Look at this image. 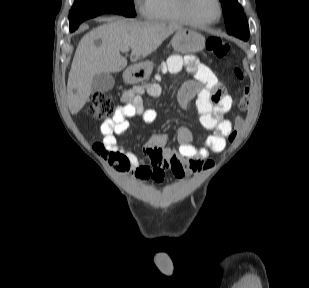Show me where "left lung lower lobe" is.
<instances>
[{"mask_svg":"<svg viewBox=\"0 0 309 288\" xmlns=\"http://www.w3.org/2000/svg\"><path fill=\"white\" fill-rule=\"evenodd\" d=\"M231 35H234L242 40H248L249 38V33L248 34H240V33H234V34H231Z\"/></svg>","mask_w":309,"mask_h":288,"instance_id":"obj_1","label":"left lung lower lobe"}]
</instances>
